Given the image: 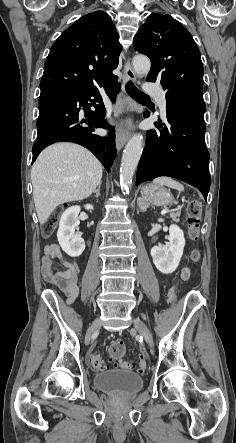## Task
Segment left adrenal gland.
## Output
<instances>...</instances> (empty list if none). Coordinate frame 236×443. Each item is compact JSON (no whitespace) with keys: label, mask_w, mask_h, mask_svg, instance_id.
Masks as SVG:
<instances>
[{"label":"left adrenal gland","mask_w":236,"mask_h":443,"mask_svg":"<svg viewBox=\"0 0 236 443\" xmlns=\"http://www.w3.org/2000/svg\"><path fill=\"white\" fill-rule=\"evenodd\" d=\"M138 206L140 208V210L142 212H146L147 208H148V204L142 203V202H138Z\"/></svg>","instance_id":"1"}]
</instances>
